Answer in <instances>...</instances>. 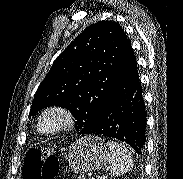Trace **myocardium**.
<instances>
[{"label": "myocardium", "instance_id": "myocardium-1", "mask_svg": "<svg viewBox=\"0 0 183 179\" xmlns=\"http://www.w3.org/2000/svg\"><path fill=\"white\" fill-rule=\"evenodd\" d=\"M55 115L60 119L57 126L52 129H44L43 121L46 117ZM75 122L74 113L67 107L61 105H53L44 109L38 118L37 128L38 131L44 135H55L70 129Z\"/></svg>", "mask_w": 183, "mask_h": 179}]
</instances>
